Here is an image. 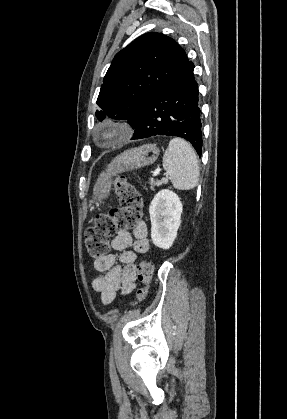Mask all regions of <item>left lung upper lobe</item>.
<instances>
[{"instance_id":"1","label":"left lung upper lobe","mask_w":287,"mask_h":419,"mask_svg":"<svg viewBox=\"0 0 287 419\" xmlns=\"http://www.w3.org/2000/svg\"><path fill=\"white\" fill-rule=\"evenodd\" d=\"M190 65L170 37L155 32L140 36L115 55L100 89L96 117L130 120L135 128L149 99Z\"/></svg>"}]
</instances>
